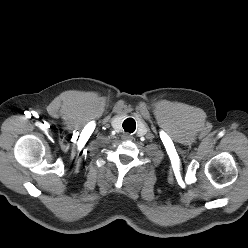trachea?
Wrapping results in <instances>:
<instances>
[{"label": "trachea", "mask_w": 248, "mask_h": 248, "mask_svg": "<svg viewBox=\"0 0 248 248\" xmlns=\"http://www.w3.org/2000/svg\"><path fill=\"white\" fill-rule=\"evenodd\" d=\"M122 126L126 132L133 133L136 129V122L134 119L128 118L123 122Z\"/></svg>", "instance_id": "trachea-1"}]
</instances>
